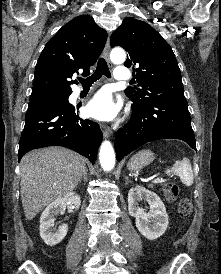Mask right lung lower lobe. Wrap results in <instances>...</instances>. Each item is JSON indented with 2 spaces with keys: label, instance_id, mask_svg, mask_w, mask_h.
Masks as SVG:
<instances>
[{
  "label": "right lung lower lobe",
  "instance_id": "right-lung-lower-lobe-1",
  "mask_svg": "<svg viewBox=\"0 0 221 274\" xmlns=\"http://www.w3.org/2000/svg\"><path fill=\"white\" fill-rule=\"evenodd\" d=\"M79 107L63 102L28 109L18 161L32 149L64 146L88 157L94 164L102 132L97 123L78 116Z\"/></svg>",
  "mask_w": 221,
  "mask_h": 274
}]
</instances>
